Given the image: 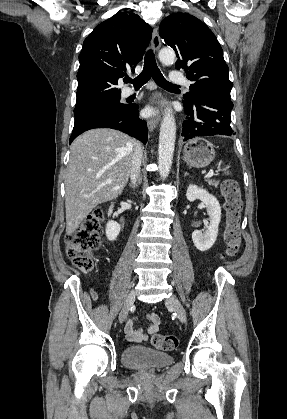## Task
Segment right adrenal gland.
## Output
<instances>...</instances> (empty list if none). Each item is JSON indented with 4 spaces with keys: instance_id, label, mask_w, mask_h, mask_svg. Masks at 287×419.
Returning <instances> with one entry per match:
<instances>
[{
    "instance_id": "2a0ac1e0",
    "label": "right adrenal gland",
    "mask_w": 287,
    "mask_h": 419,
    "mask_svg": "<svg viewBox=\"0 0 287 419\" xmlns=\"http://www.w3.org/2000/svg\"><path fill=\"white\" fill-rule=\"evenodd\" d=\"M141 182H142V178H141V177H139V180H138V185H140V184H141ZM130 186H131V187H133V188H135V186H137V185L132 186V185L130 184Z\"/></svg>"
}]
</instances>
